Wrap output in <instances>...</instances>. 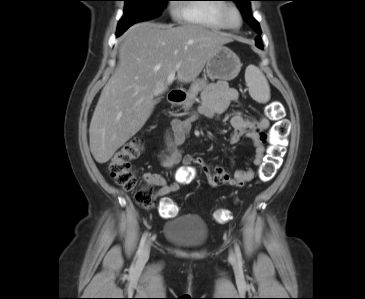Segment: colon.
Returning a JSON list of instances; mask_svg holds the SVG:
<instances>
[{"label": "colon", "mask_w": 365, "mask_h": 299, "mask_svg": "<svg viewBox=\"0 0 365 299\" xmlns=\"http://www.w3.org/2000/svg\"><path fill=\"white\" fill-rule=\"evenodd\" d=\"M282 106L275 102L268 109V115L275 120L270 131V146L268 155L260 167L259 179L268 182L273 179L279 169L282 157L285 153L288 124L282 119ZM142 142L139 137L127 141L112 157L108 165L110 176L115 182L127 192L134 194L135 201L143 208H151L155 204L153 189L150 185L139 184L135 170L132 167V160L137 158L142 151ZM189 180H186L188 182ZM177 205L166 199L162 202L160 213L163 217H171L177 212ZM213 216L219 224H224L231 219V213L227 209H217Z\"/></svg>", "instance_id": "1"}]
</instances>
